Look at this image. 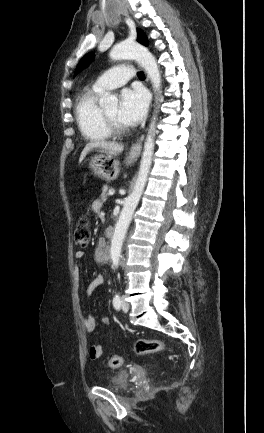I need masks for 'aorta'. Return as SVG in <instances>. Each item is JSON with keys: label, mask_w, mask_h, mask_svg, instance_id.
<instances>
[{"label": "aorta", "mask_w": 264, "mask_h": 433, "mask_svg": "<svg viewBox=\"0 0 264 433\" xmlns=\"http://www.w3.org/2000/svg\"><path fill=\"white\" fill-rule=\"evenodd\" d=\"M112 60L135 59L147 72L155 93L161 90V75L156 59L148 49L138 43L122 42L115 45L110 51ZM105 104L116 103L117 98L109 95L104 100ZM156 115L153 116L149 130L145 139L142 158L140 161L139 172L132 193L125 199L123 209L115 226L114 234L111 240L110 257L112 266L118 268L121 256V250L126 232L132 220L134 211L140 201L142 193L147 183L148 174L152 164L154 153V138L156 131Z\"/></svg>", "instance_id": "762f6f07"}]
</instances>
